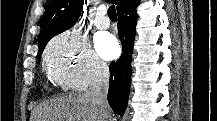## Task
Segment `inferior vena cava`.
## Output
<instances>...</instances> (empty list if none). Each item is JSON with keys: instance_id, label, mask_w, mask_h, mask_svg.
I'll return each mask as SVG.
<instances>
[{"instance_id": "obj_1", "label": "inferior vena cava", "mask_w": 217, "mask_h": 121, "mask_svg": "<svg viewBox=\"0 0 217 121\" xmlns=\"http://www.w3.org/2000/svg\"><path fill=\"white\" fill-rule=\"evenodd\" d=\"M109 87V69L102 63L94 65L93 76L86 95L99 107L102 121H111L110 108L107 101Z\"/></svg>"}]
</instances>
